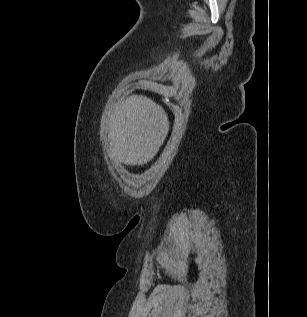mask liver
<instances>
[{
  "label": "liver",
  "mask_w": 307,
  "mask_h": 317,
  "mask_svg": "<svg viewBox=\"0 0 307 317\" xmlns=\"http://www.w3.org/2000/svg\"><path fill=\"white\" fill-rule=\"evenodd\" d=\"M169 131L162 106L142 95H131L109 116L111 155L126 165H143L154 158Z\"/></svg>",
  "instance_id": "liver-1"
}]
</instances>
